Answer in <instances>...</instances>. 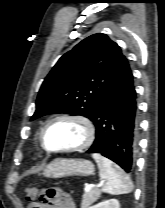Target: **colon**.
Returning a JSON list of instances; mask_svg holds the SVG:
<instances>
[{"instance_id":"colon-1","label":"colon","mask_w":165,"mask_h":208,"mask_svg":"<svg viewBox=\"0 0 165 208\" xmlns=\"http://www.w3.org/2000/svg\"><path fill=\"white\" fill-rule=\"evenodd\" d=\"M40 195V191L37 187H28L26 189V199L33 202Z\"/></svg>"}]
</instances>
